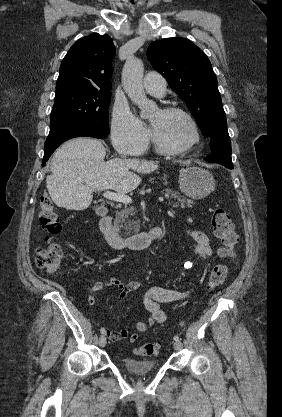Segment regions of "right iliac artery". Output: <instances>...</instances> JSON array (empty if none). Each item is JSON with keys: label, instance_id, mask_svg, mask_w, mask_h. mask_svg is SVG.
Instances as JSON below:
<instances>
[{"label": "right iliac artery", "instance_id": "1", "mask_svg": "<svg viewBox=\"0 0 282 417\" xmlns=\"http://www.w3.org/2000/svg\"><path fill=\"white\" fill-rule=\"evenodd\" d=\"M100 332H101L102 334H105V333H106V329H105V328H101Z\"/></svg>", "mask_w": 282, "mask_h": 417}]
</instances>
